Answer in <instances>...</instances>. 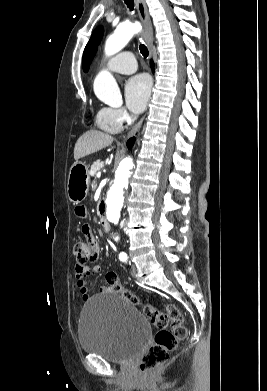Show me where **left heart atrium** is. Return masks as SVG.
Segmentation results:
<instances>
[{
    "instance_id": "obj_1",
    "label": "left heart atrium",
    "mask_w": 267,
    "mask_h": 391,
    "mask_svg": "<svg viewBox=\"0 0 267 391\" xmlns=\"http://www.w3.org/2000/svg\"><path fill=\"white\" fill-rule=\"evenodd\" d=\"M151 82L147 75L139 74L130 78L125 84V100L133 113H141L149 100Z\"/></svg>"
}]
</instances>
